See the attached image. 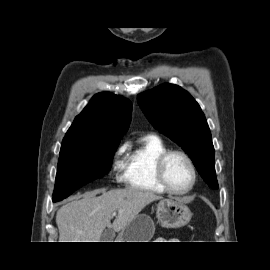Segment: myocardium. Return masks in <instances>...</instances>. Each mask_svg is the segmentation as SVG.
<instances>
[{"label": "myocardium", "instance_id": "obj_1", "mask_svg": "<svg viewBox=\"0 0 270 270\" xmlns=\"http://www.w3.org/2000/svg\"><path fill=\"white\" fill-rule=\"evenodd\" d=\"M173 155H179L183 157L188 163L192 172L191 184L184 190L174 189L167 180L166 164L169 158ZM155 172H156V177L159 184L165 189L166 192L174 194V195H185L189 193L195 187L196 182H197V177H198L197 169L192 158L185 151L179 150V149L167 150L164 153H162L156 161Z\"/></svg>", "mask_w": 270, "mask_h": 270}]
</instances>
